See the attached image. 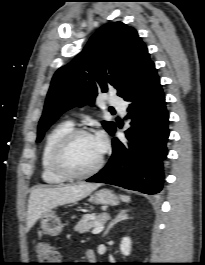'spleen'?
<instances>
[{
  "label": "spleen",
  "instance_id": "1",
  "mask_svg": "<svg viewBox=\"0 0 205 265\" xmlns=\"http://www.w3.org/2000/svg\"><path fill=\"white\" fill-rule=\"evenodd\" d=\"M120 199L123 201V202H126V203H129L130 202V197L127 196V195H120Z\"/></svg>",
  "mask_w": 205,
  "mask_h": 265
}]
</instances>
